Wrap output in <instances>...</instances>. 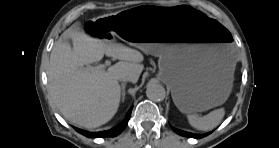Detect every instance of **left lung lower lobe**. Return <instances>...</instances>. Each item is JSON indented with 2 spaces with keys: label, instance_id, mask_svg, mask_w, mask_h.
Wrapping results in <instances>:
<instances>
[{
  "label": "left lung lower lobe",
  "instance_id": "left-lung-lower-lobe-1",
  "mask_svg": "<svg viewBox=\"0 0 279 148\" xmlns=\"http://www.w3.org/2000/svg\"><path fill=\"white\" fill-rule=\"evenodd\" d=\"M172 129H173L176 133H178V134H180V135H182V136L190 137V138H196V139L205 137V136H207L208 134L211 133V132H209V133H206V134H192V133H189V132H185V131H181V130L175 129V128H173V127H172Z\"/></svg>",
  "mask_w": 279,
  "mask_h": 148
}]
</instances>
